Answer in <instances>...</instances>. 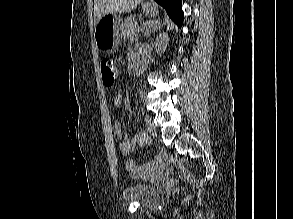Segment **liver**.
I'll use <instances>...</instances> for the list:
<instances>
[{
    "mask_svg": "<svg viewBox=\"0 0 293 219\" xmlns=\"http://www.w3.org/2000/svg\"><path fill=\"white\" fill-rule=\"evenodd\" d=\"M142 0H94V25L107 14L127 13Z\"/></svg>",
    "mask_w": 293,
    "mask_h": 219,
    "instance_id": "obj_1",
    "label": "liver"
}]
</instances>
